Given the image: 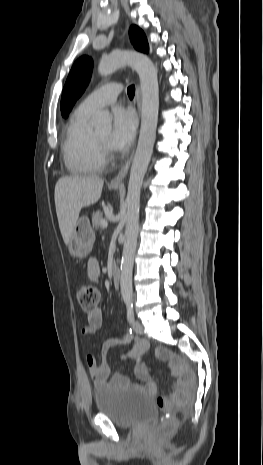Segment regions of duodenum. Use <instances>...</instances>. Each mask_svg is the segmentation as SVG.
Returning <instances> with one entry per match:
<instances>
[{"mask_svg": "<svg viewBox=\"0 0 263 465\" xmlns=\"http://www.w3.org/2000/svg\"><path fill=\"white\" fill-rule=\"evenodd\" d=\"M112 277H113V284L116 288L120 287V282H121V274L119 269L114 268L112 272Z\"/></svg>", "mask_w": 263, "mask_h": 465, "instance_id": "410a0bca", "label": "duodenum"}]
</instances>
